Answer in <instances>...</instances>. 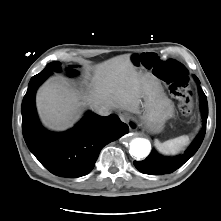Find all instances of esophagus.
Returning a JSON list of instances; mask_svg holds the SVG:
<instances>
[{
  "mask_svg": "<svg viewBox=\"0 0 221 221\" xmlns=\"http://www.w3.org/2000/svg\"><path fill=\"white\" fill-rule=\"evenodd\" d=\"M120 119L125 122L128 123L130 120V115L126 112L120 113Z\"/></svg>",
  "mask_w": 221,
  "mask_h": 221,
  "instance_id": "34e87169",
  "label": "esophagus"
}]
</instances>
